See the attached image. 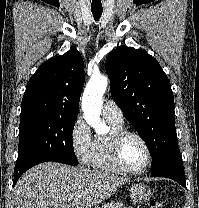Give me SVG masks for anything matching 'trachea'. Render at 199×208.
<instances>
[{
	"label": "trachea",
	"mask_w": 199,
	"mask_h": 208,
	"mask_svg": "<svg viewBox=\"0 0 199 208\" xmlns=\"http://www.w3.org/2000/svg\"><path fill=\"white\" fill-rule=\"evenodd\" d=\"M91 11L95 20H99L100 16L102 15V9H92Z\"/></svg>",
	"instance_id": "1"
}]
</instances>
